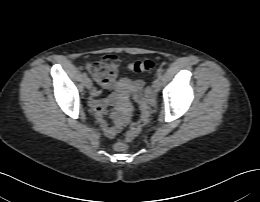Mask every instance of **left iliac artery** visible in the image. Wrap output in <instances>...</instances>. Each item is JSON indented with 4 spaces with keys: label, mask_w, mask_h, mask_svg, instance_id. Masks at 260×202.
<instances>
[{
    "label": "left iliac artery",
    "mask_w": 260,
    "mask_h": 202,
    "mask_svg": "<svg viewBox=\"0 0 260 202\" xmlns=\"http://www.w3.org/2000/svg\"><path fill=\"white\" fill-rule=\"evenodd\" d=\"M157 77H158V79H162V77H163L162 73L159 72V73L157 74Z\"/></svg>",
    "instance_id": "1"
}]
</instances>
